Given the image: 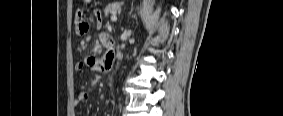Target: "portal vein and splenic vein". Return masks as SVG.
Here are the masks:
<instances>
[{"label":"portal vein and splenic vein","instance_id":"portal-vein-and-splenic-vein-1","mask_svg":"<svg viewBox=\"0 0 283 116\" xmlns=\"http://www.w3.org/2000/svg\"><path fill=\"white\" fill-rule=\"evenodd\" d=\"M111 21H112V22H116V21H117V16H116V14H113V15H112Z\"/></svg>","mask_w":283,"mask_h":116}]
</instances>
